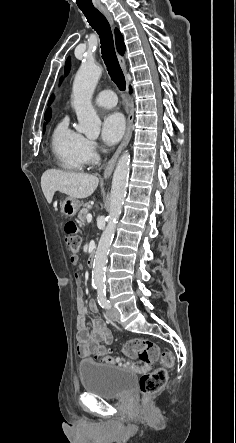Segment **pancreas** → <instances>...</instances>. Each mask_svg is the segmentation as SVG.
Returning <instances> with one entry per match:
<instances>
[{
  "label": "pancreas",
  "mask_w": 236,
  "mask_h": 443,
  "mask_svg": "<svg viewBox=\"0 0 236 443\" xmlns=\"http://www.w3.org/2000/svg\"><path fill=\"white\" fill-rule=\"evenodd\" d=\"M87 214H89V208L88 207H84L80 210L79 214H78V218L81 222H85Z\"/></svg>",
  "instance_id": "pancreas-1"
}]
</instances>
